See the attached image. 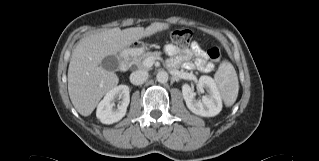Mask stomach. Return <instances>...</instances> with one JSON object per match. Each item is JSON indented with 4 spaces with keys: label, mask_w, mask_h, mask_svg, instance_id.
<instances>
[{
    "label": "stomach",
    "mask_w": 319,
    "mask_h": 161,
    "mask_svg": "<svg viewBox=\"0 0 319 161\" xmlns=\"http://www.w3.org/2000/svg\"><path fill=\"white\" fill-rule=\"evenodd\" d=\"M145 47H144V45H141V48L140 49H138L137 51L138 52H141L142 51V49H144Z\"/></svg>",
    "instance_id": "stomach-1"
}]
</instances>
